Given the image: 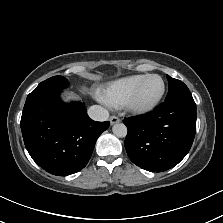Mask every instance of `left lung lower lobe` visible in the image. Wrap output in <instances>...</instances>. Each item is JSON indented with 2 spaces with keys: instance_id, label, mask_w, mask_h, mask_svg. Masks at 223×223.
Here are the masks:
<instances>
[{
  "instance_id": "0a47b994",
  "label": "left lung lower lobe",
  "mask_w": 223,
  "mask_h": 223,
  "mask_svg": "<svg viewBox=\"0 0 223 223\" xmlns=\"http://www.w3.org/2000/svg\"><path fill=\"white\" fill-rule=\"evenodd\" d=\"M123 122L131 161L145 170L162 172L189 152L196 133V104L194 100L165 101L153 111Z\"/></svg>"
}]
</instances>
